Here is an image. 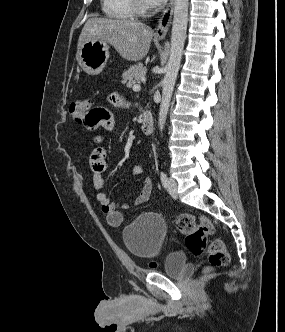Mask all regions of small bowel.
<instances>
[{"mask_svg": "<svg viewBox=\"0 0 285 332\" xmlns=\"http://www.w3.org/2000/svg\"><path fill=\"white\" fill-rule=\"evenodd\" d=\"M113 103L121 105V99L113 95ZM82 126H87L88 133L109 132L114 127V118L109 112L108 106H91L90 111H85V115L79 116ZM103 137L97 134L90 149V166L92 169V185L96 192V200L105 214L107 223L112 227H119L123 222V211L132 209L135 206L145 203L152 192L153 184L151 179L145 180L144 186L139 195L134 200H126L120 203L111 202L109 196L104 192V175L107 170V155L102 146ZM144 170V164L139 163L133 167L132 173L139 175Z\"/></svg>", "mask_w": 285, "mask_h": 332, "instance_id": "small-bowel-1", "label": "small bowel"}]
</instances>
